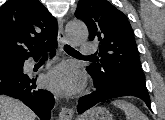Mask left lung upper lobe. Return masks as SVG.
<instances>
[{
  "label": "left lung upper lobe",
  "mask_w": 165,
  "mask_h": 120,
  "mask_svg": "<svg viewBox=\"0 0 165 120\" xmlns=\"http://www.w3.org/2000/svg\"><path fill=\"white\" fill-rule=\"evenodd\" d=\"M75 16L87 25L89 40L99 41L98 63L87 67L95 88L148 93L133 30L125 14L107 0H79Z\"/></svg>",
  "instance_id": "obj_1"
}]
</instances>
